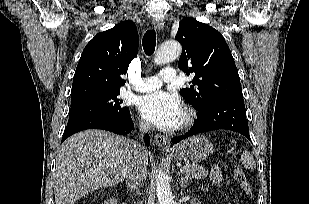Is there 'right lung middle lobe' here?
Returning a JSON list of instances; mask_svg holds the SVG:
<instances>
[{
    "mask_svg": "<svg viewBox=\"0 0 309 204\" xmlns=\"http://www.w3.org/2000/svg\"><path fill=\"white\" fill-rule=\"evenodd\" d=\"M118 95L119 91L71 104L69 119L87 114H101L125 120L130 116V111L121 105L123 101L117 98Z\"/></svg>",
    "mask_w": 309,
    "mask_h": 204,
    "instance_id": "right-lung-middle-lobe-1",
    "label": "right lung middle lobe"
}]
</instances>
